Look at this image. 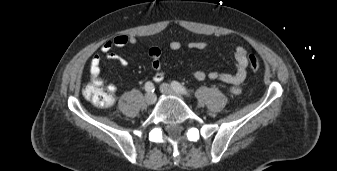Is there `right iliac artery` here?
Listing matches in <instances>:
<instances>
[{
  "label": "right iliac artery",
  "instance_id": "1",
  "mask_svg": "<svg viewBox=\"0 0 337 171\" xmlns=\"http://www.w3.org/2000/svg\"><path fill=\"white\" fill-rule=\"evenodd\" d=\"M145 90H146L148 93L154 92L155 87H154L153 83L150 82V81H149V82H146V84H145Z\"/></svg>",
  "mask_w": 337,
  "mask_h": 171
}]
</instances>
